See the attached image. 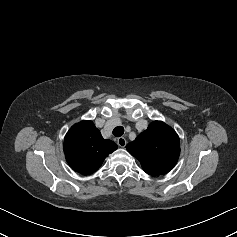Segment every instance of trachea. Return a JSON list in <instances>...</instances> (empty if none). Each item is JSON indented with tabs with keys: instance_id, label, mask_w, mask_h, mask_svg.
<instances>
[{
	"instance_id": "trachea-1",
	"label": "trachea",
	"mask_w": 237,
	"mask_h": 237,
	"mask_svg": "<svg viewBox=\"0 0 237 237\" xmlns=\"http://www.w3.org/2000/svg\"><path fill=\"white\" fill-rule=\"evenodd\" d=\"M124 134V128L122 126H117L113 129V135L120 137Z\"/></svg>"
}]
</instances>
